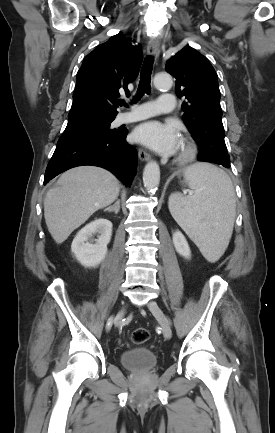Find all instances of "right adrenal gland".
<instances>
[{
    "label": "right adrenal gland",
    "mask_w": 275,
    "mask_h": 433,
    "mask_svg": "<svg viewBox=\"0 0 275 433\" xmlns=\"http://www.w3.org/2000/svg\"><path fill=\"white\" fill-rule=\"evenodd\" d=\"M120 210V200L117 199V201L115 202V204L113 206H109L108 208L104 209V212L108 211V212H115V214H117Z\"/></svg>",
    "instance_id": "2a0ac1e0"
}]
</instances>
